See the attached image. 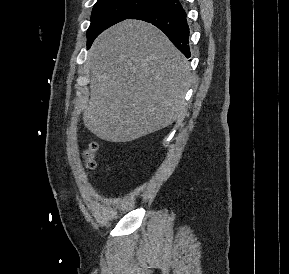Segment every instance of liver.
I'll return each mask as SVG.
<instances>
[{
  "label": "liver",
  "mask_w": 289,
  "mask_h": 274,
  "mask_svg": "<svg viewBox=\"0 0 289 274\" xmlns=\"http://www.w3.org/2000/svg\"><path fill=\"white\" fill-rule=\"evenodd\" d=\"M87 62L90 99L83 121L98 138L129 142L184 118L189 63L153 25H114L96 38Z\"/></svg>",
  "instance_id": "6515ba94"
}]
</instances>
